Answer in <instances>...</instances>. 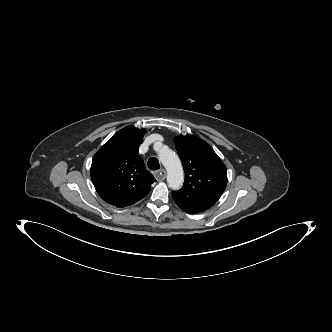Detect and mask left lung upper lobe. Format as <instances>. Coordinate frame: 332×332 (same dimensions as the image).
I'll use <instances>...</instances> for the list:
<instances>
[{
  "instance_id": "1",
  "label": "left lung upper lobe",
  "mask_w": 332,
  "mask_h": 332,
  "mask_svg": "<svg viewBox=\"0 0 332 332\" xmlns=\"http://www.w3.org/2000/svg\"><path fill=\"white\" fill-rule=\"evenodd\" d=\"M182 161L185 182L172 192L176 204L192 214L212 207L227 184V169L214 150L193 136H178L174 140Z\"/></svg>"
}]
</instances>
